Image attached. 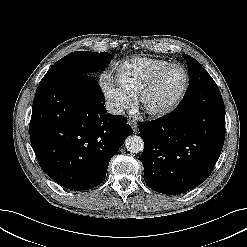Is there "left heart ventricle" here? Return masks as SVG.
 Returning <instances> with one entry per match:
<instances>
[{
	"mask_svg": "<svg viewBox=\"0 0 247 247\" xmlns=\"http://www.w3.org/2000/svg\"><path fill=\"white\" fill-rule=\"evenodd\" d=\"M184 73L180 68H171L163 73L146 98L149 108L158 109L168 105L184 85Z\"/></svg>",
	"mask_w": 247,
	"mask_h": 247,
	"instance_id": "1",
	"label": "left heart ventricle"
}]
</instances>
